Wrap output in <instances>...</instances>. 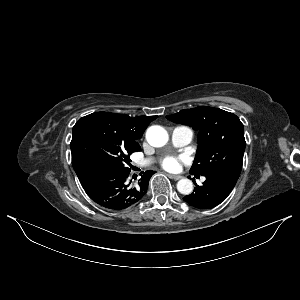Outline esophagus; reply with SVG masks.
I'll use <instances>...</instances> for the list:
<instances>
[{
  "label": "esophagus",
  "instance_id": "obj_1",
  "mask_svg": "<svg viewBox=\"0 0 300 300\" xmlns=\"http://www.w3.org/2000/svg\"><path fill=\"white\" fill-rule=\"evenodd\" d=\"M169 177H170L171 179H174V180H179V179L182 178L181 175H173V174H170Z\"/></svg>",
  "mask_w": 300,
  "mask_h": 300
}]
</instances>
